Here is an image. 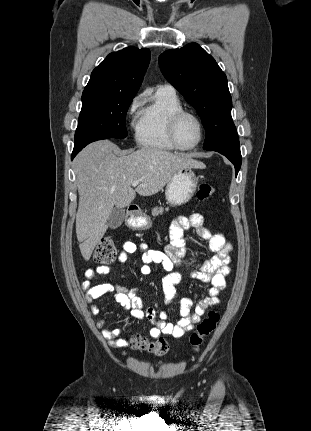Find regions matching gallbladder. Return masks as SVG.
Returning <instances> with one entry per match:
<instances>
[{
    "label": "gallbladder",
    "mask_w": 311,
    "mask_h": 431,
    "mask_svg": "<svg viewBox=\"0 0 311 431\" xmlns=\"http://www.w3.org/2000/svg\"><path fill=\"white\" fill-rule=\"evenodd\" d=\"M125 210L122 208H113V212L111 216L108 217V225L111 229H116V227H120L124 221Z\"/></svg>",
    "instance_id": "bac80fb5"
}]
</instances>
